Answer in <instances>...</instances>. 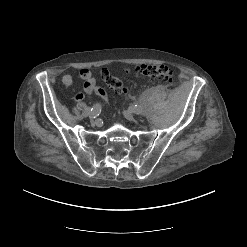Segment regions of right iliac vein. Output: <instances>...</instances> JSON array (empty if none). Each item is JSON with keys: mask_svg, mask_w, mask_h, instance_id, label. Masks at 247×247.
<instances>
[{"mask_svg": "<svg viewBox=\"0 0 247 247\" xmlns=\"http://www.w3.org/2000/svg\"><path fill=\"white\" fill-rule=\"evenodd\" d=\"M89 118H90V120H95V118H94V116H93V114L91 113V112H89Z\"/></svg>", "mask_w": 247, "mask_h": 247, "instance_id": "right-iliac-vein-1", "label": "right iliac vein"}]
</instances>
